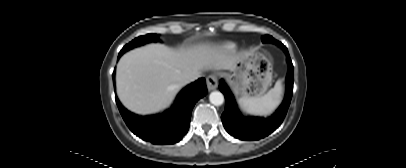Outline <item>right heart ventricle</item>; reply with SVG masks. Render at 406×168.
<instances>
[{
    "label": "right heart ventricle",
    "instance_id": "1",
    "mask_svg": "<svg viewBox=\"0 0 406 168\" xmlns=\"http://www.w3.org/2000/svg\"><path fill=\"white\" fill-rule=\"evenodd\" d=\"M227 48L233 49V48H234V45H233V44H229V45H227Z\"/></svg>",
    "mask_w": 406,
    "mask_h": 168
}]
</instances>
